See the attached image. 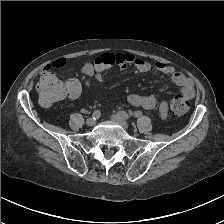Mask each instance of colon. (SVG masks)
<instances>
[{"mask_svg":"<svg viewBox=\"0 0 224 224\" xmlns=\"http://www.w3.org/2000/svg\"><path fill=\"white\" fill-rule=\"evenodd\" d=\"M38 92L44 103L52 104L64 97H77L81 92V85L76 81L62 83L56 78L50 77L40 81ZM170 108L172 113L183 115L189 110L190 102L185 96L179 95L172 99Z\"/></svg>","mask_w":224,"mask_h":224,"instance_id":"1","label":"colon"}]
</instances>
